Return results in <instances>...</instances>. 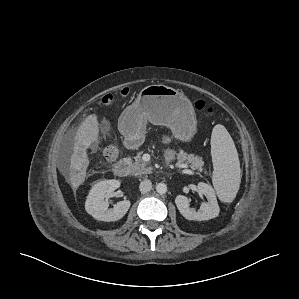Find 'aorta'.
Masks as SVG:
<instances>
[{"label":"aorta","mask_w":299,"mask_h":299,"mask_svg":"<svg viewBox=\"0 0 299 299\" xmlns=\"http://www.w3.org/2000/svg\"><path fill=\"white\" fill-rule=\"evenodd\" d=\"M156 191L159 194H165L167 192V186L164 183H158L156 185Z\"/></svg>","instance_id":"obj_1"}]
</instances>
